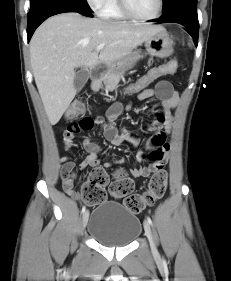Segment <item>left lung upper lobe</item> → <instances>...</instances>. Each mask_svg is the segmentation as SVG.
Instances as JSON below:
<instances>
[{"label":"left lung upper lobe","instance_id":"left-lung-upper-lobe-1","mask_svg":"<svg viewBox=\"0 0 231 281\" xmlns=\"http://www.w3.org/2000/svg\"><path fill=\"white\" fill-rule=\"evenodd\" d=\"M176 1H178V0H163V9L171 6Z\"/></svg>","mask_w":231,"mask_h":281}]
</instances>
